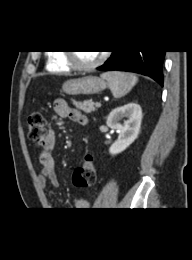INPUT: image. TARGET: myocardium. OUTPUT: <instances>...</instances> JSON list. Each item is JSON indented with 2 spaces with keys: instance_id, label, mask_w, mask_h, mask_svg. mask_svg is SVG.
Returning a JSON list of instances; mask_svg holds the SVG:
<instances>
[{
  "instance_id": "myocardium-1",
  "label": "myocardium",
  "mask_w": 192,
  "mask_h": 260,
  "mask_svg": "<svg viewBox=\"0 0 192 260\" xmlns=\"http://www.w3.org/2000/svg\"><path fill=\"white\" fill-rule=\"evenodd\" d=\"M66 62L75 70L78 71H91L102 65L107 57L106 53L100 55V57L91 64H81L77 61L75 53L73 51H66L64 53Z\"/></svg>"
}]
</instances>
